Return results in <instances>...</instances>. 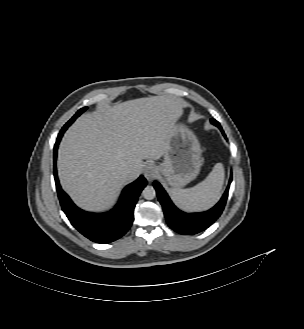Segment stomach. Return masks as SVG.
<instances>
[{
  "mask_svg": "<svg viewBox=\"0 0 304 329\" xmlns=\"http://www.w3.org/2000/svg\"><path fill=\"white\" fill-rule=\"evenodd\" d=\"M201 147L194 133L183 123L175 124L168 149L158 170L169 185L180 188L194 180L202 166Z\"/></svg>",
  "mask_w": 304,
  "mask_h": 329,
  "instance_id": "1",
  "label": "stomach"
}]
</instances>
